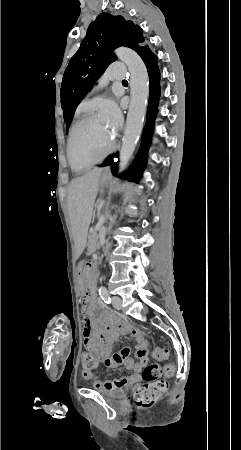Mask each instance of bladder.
<instances>
[{"label": "bladder", "mask_w": 241, "mask_h": 450, "mask_svg": "<svg viewBox=\"0 0 241 450\" xmlns=\"http://www.w3.org/2000/svg\"><path fill=\"white\" fill-rule=\"evenodd\" d=\"M108 396H110V397H116V398H118V397H122V394L121 393H119V392H108V393H106Z\"/></svg>", "instance_id": "obj_1"}]
</instances>
